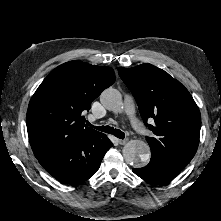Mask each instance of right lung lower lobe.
<instances>
[{
	"label": "right lung lower lobe",
	"instance_id": "98d812e1",
	"mask_svg": "<svg viewBox=\"0 0 221 221\" xmlns=\"http://www.w3.org/2000/svg\"><path fill=\"white\" fill-rule=\"evenodd\" d=\"M113 146L104 135H89L38 157L40 164L58 181L78 185L99 169L105 153Z\"/></svg>",
	"mask_w": 221,
	"mask_h": 221
}]
</instances>
